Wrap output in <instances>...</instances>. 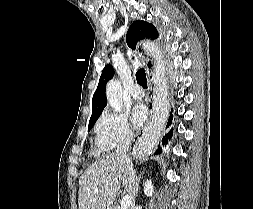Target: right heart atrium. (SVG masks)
Listing matches in <instances>:
<instances>
[{"label": "right heart atrium", "mask_w": 253, "mask_h": 209, "mask_svg": "<svg viewBox=\"0 0 253 209\" xmlns=\"http://www.w3.org/2000/svg\"><path fill=\"white\" fill-rule=\"evenodd\" d=\"M96 144L105 151H111L121 144H129L134 133L126 115L104 111L97 121Z\"/></svg>", "instance_id": "d8ad5b80"}]
</instances>
